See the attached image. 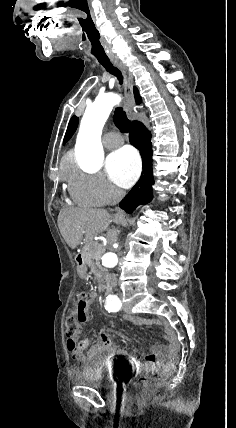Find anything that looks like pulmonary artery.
<instances>
[{"label":"pulmonary artery","instance_id":"1","mask_svg":"<svg viewBox=\"0 0 236 428\" xmlns=\"http://www.w3.org/2000/svg\"><path fill=\"white\" fill-rule=\"evenodd\" d=\"M111 136H118L119 137L118 144H122L124 142L123 138L117 133H110L107 135V137H111ZM118 144L105 142V147L108 149H114V148L118 147Z\"/></svg>","mask_w":236,"mask_h":428}]
</instances>
